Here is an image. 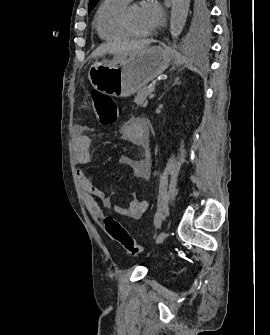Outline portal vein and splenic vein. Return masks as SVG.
<instances>
[{
  "label": "portal vein and splenic vein",
  "instance_id": "18ae733b",
  "mask_svg": "<svg viewBox=\"0 0 270 335\" xmlns=\"http://www.w3.org/2000/svg\"><path fill=\"white\" fill-rule=\"evenodd\" d=\"M151 92H152V90H151ZM155 97V93H150V95H149V100H152L153 98Z\"/></svg>",
  "mask_w": 270,
  "mask_h": 335
}]
</instances>
